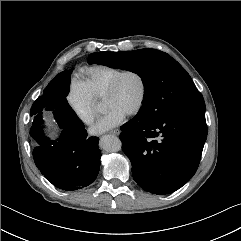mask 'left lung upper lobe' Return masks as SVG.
<instances>
[{
  "mask_svg": "<svg viewBox=\"0 0 241 241\" xmlns=\"http://www.w3.org/2000/svg\"><path fill=\"white\" fill-rule=\"evenodd\" d=\"M89 64L137 73L145 86L138 114L158 119L176 110H205V102L186 70L167 53L156 49L98 52L89 55Z\"/></svg>",
  "mask_w": 241,
  "mask_h": 241,
  "instance_id": "obj_1",
  "label": "left lung upper lobe"
}]
</instances>
